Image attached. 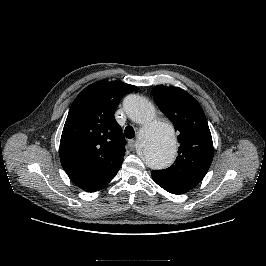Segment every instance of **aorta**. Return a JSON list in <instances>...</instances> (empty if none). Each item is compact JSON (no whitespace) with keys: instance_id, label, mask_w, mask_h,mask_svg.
Segmentation results:
<instances>
[{"instance_id":"aorta-1","label":"aorta","mask_w":266,"mask_h":266,"mask_svg":"<svg viewBox=\"0 0 266 266\" xmlns=\"http://www.w3.org/2000/svg\"><path fill=\"white\" fill-rule=\"evenodd\" d=\"M128 117L142 125L139 133L141 155L148 167L164 169L176 155V139L172 125L155 121V108L146 98L130 95L124 101Z\"/></svg>"}]
</instances>
